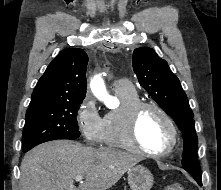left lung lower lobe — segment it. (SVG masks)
Masks as SVG:
<instances>
[{
  "label": "left lung lower lobe",
  "instance_id": "1",
  "mask_svg": "<svg viewBox=\"0 0 221 190\" xmlns=\"http://www.w3.org/2000/svg\"><path fill=\"white\" fill-rule=\"evenodd\" d=\"M194 179L197 181V183H198L199 185H202L201 177H194Z\"/></svg>",
  "mask_w": 221,
  "mask_h": 190
}]
</instances>
